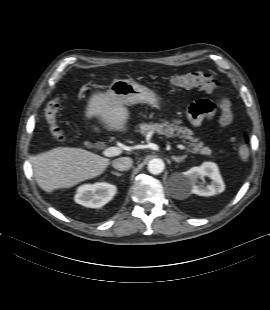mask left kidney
Wrapping results in <instances>:
<instances>
[{
  "label": "left kidney",
  "instance_id": "1",
  "mask_svg": "<svg viewBox=\"0 0 270 310\" xmlns=\"http://www.w3.org/2000/svg\"><path fill=\"white\" fill-rule=\"evenodd\" d=\"M209 177L212 181L205 186L200 184L198 179ZM181 188L186 194L199 196H213L225 190V184L219 173L218 166L213 162H204L199 167H192L181 174Z\"/></svg>",
  "mask_w": 270,
  "mask_h": 310
}]
</instances>
